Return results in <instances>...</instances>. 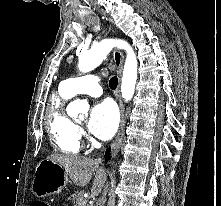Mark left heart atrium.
Returning a JSON list of instances; mask_svg holds the SVG:
<instances>
[{"mask_svg": "<svg viewBox=\"0 0 221 206\" xmlns=\"http://www.w3.org/2000/svg\"><path fill=\"white\" fill-rule=\"evenodd\" d=\"M119 125V113L111 101H103L93 106L90 112L88 129L97 138H111Z\"/></svg>", "mask_w": 221, "mask_h": 206, "instance_id": "1", "label": "left heart atrium"}]
</instances>
